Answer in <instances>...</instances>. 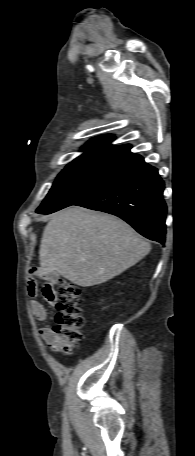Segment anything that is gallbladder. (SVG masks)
Returning a JSON list of instances; mask_svg holds the SVG:
<instances>
[{
  "mask_svg": "<svg viewBox=\"0 0 195 456\" xmlns=\"http://www.w3.org/2000/svg\"><path fill=\"white\" fill-rule=\"evenodd\" d=\"M46 280H48L49 282H55L56 279H57V274H54V273H48L45 277Z\"/></svg>",
  "mask_w": 195,
  "mask_h": 456,
  "instance_id": "obj_1",
  "label": "gallbladder"
}]
</instances>
